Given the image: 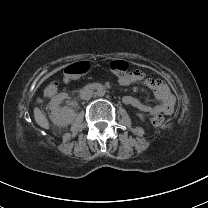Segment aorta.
<instances>
[{
	"label": "aorta",
	"instance_id": "aorta-1",
	"mask_svg": "<svg viewBox=\"0 0 208 208\" xmlns=\"http://www.w3.org/2000/svg\"><path fill=\"white\" fill-rule=\"evenodd\" d=\"M96 94H97V96L102 97V96L105 95V90H103V89H98L97 92H96Z\"/></svg>",
	"mask_w": 208,
	"mask_h": 208
}]
</instances>
